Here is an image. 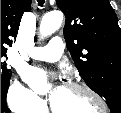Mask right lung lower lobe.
<instances>
[{"label":"right lung lower lobe","instance_id":"obj_1","mask_svg":"<svg viewBox=\"0 0 121 113\" xmlns=\"http://www.w3.org/2000/svg\"><path fill=\"white\" fill-rule=\"evenodd\" d=\"M6 95H7V90H2V93H1V113L10 112L9 108L6 105V101H5Z\"/></svg>","mask_w":121,"mask_h":113}]
</instances>
